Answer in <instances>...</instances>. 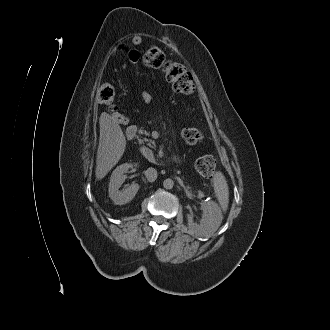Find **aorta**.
<instances>
[{
	"mask_svg": "<svg viewBox=\"0 0 330 330\" xmlns=\"http://www.w3.org/2000/svg\"><path fill=\"white\" fill-rule=\"evenodd\" d=\"M163 186H164L165 189H172L173 186H174V182L170 178L165 179L164 182H163Z\"/></svg>",
	"mask_w": 330,
	"mask_h": 330,
	"instance_id": "obj_1",
	"label": "aorta"
}]
</instances>
